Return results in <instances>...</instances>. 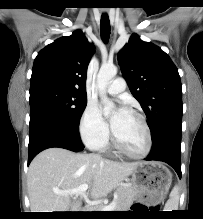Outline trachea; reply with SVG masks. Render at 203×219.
Instances as JSON below:
<instances>
[{
  "instance_id": "1",
  "label": "trachea",
  "mask_w": 203,
  "mask_h": 219,
  "mask_svg": "<svg viewBox=\"0 0 203 219\" xmlns=\"http://www.w3.org/2000/svg\"><path fill=\"white\" fill-rule=\"evenodd\" d=\"M101 37L107 41L110 36V21L107 14H103L100 21Z\"/></svg>"
}]
</instances>
